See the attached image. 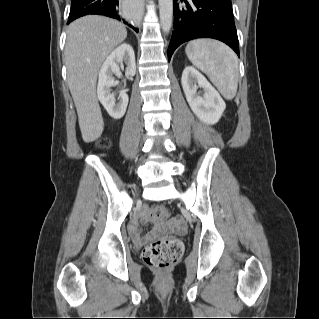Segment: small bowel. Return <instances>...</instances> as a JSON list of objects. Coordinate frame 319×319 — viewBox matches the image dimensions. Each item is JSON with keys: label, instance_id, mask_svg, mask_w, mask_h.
Returning <instances> with one entry per match:
<instances>
[{"label": "small bowel", "instance_id": "small-bowel-1", "mask_svg": "<svg viewBox=\"0 0 319 319\" xmlns=\"http://www.w3.org/2000/svg\"><path fill=\"white\" fill-rule=\"evenodd\" d=\"M138 214L142 216L141 219L134 217L129 224V231L133 237L139 238L140 222H144V223L152 222L154 225V228H155L154 233L150 235L146 240H150L154 238L159 232H161L164 229V225L162 223L158 221H151L148 219V217L146 216V208L144 206L139 209ZM167 230L171 232H176V233H183L185 231V225H184L183 219L179 216L172 218L167 224Z\"/></svg>", "mask_w": 319, "mask_h": 319}]
</instances>
